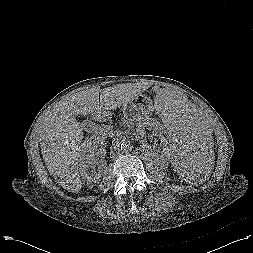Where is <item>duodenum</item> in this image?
Returning <instances> with one entry per match:
<instances>
[{
  "instance_id": "1",
  "label": "duodenum",
  "mask_w": 253,
  "mask_h": 253,
  "mask_svg": "<svg viewBox=\"0 0 253 253\" xmlns=\"http://www.w3.org/2000/svg\"><path fill=\"white\" fill-rule=\"evenodd\" d=\"M93 128H94V127L92 126V127L89 128V130H93Z\"/></svg>"
}]
</instances>
